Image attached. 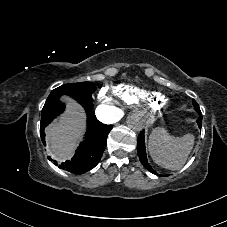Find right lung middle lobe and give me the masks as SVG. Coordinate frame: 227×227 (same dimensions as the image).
Returning a JSON list of instances; mask_svg holds the SVG:
<instances>
[{
  "instance_id": "right-lung-middle-lobe-1",
  "label": "right lung middle lobe",
  "mask_w": 227,
  "mask_h": 227,
  "mask_svg": "<svg viewBox=\"0 0 227 227\" xmlns=\"http://www.w3.org/2000/svg\"><path fill=\"white\" fill-rule=\"evenodd\" d=\"M95 90L96 86L91 82H79L62 85L51 91L42 109V114L45 113L52 104L59 101V98L62 95H69L80 102H92V94Z\"/></svg>"
}]
</instances>
